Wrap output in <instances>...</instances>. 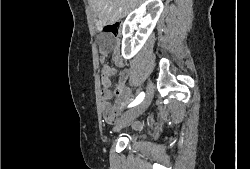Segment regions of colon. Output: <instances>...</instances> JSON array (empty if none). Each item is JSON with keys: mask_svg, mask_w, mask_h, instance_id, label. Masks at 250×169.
<instances>
[{"mask_svg": "<svg viewBox=\"0 0 250 169\" xmlns=\"http://www.w3.org/2000/svg\"><path fill=\"white\" fill-rule=\"evenodd\" d=\"M106 40L104 42V47L109 48L114 40H121L122 35V25L119 23L109 24L103 28ZM119 93V92H117Z\"/></svg>", "mask_w": 250, "mask_h": 169, "instance_id": "5ec220e1", "label": "colon"}]
</instances>
